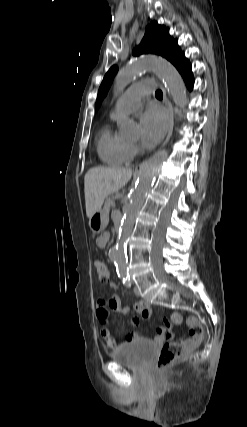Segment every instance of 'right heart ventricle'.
I'll list each match as a JSON object with an SVG mask.
<instances>
[{
  "mask_svg": "<svg viewBox=\"0 0 247 427\" xmlns=\"http://www.w3.org/2000/svg\"><path fill=\"white\" fill-rule=\"evenodd\" d=\"M97 152L100 159L111 166L125 164L132 157L129 142L109 125L104 126L98 134Z\"/></svg>",
  "mask_w": 247,
  "mask_h": 427,
  "instance_id": "e07e8e85",
  "label": "right heart ventricle"
}]
</instances>
